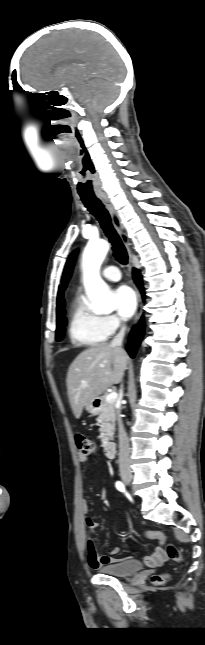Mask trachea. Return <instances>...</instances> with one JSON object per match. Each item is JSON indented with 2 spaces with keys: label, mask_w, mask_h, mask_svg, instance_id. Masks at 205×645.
I'll return each instance as SVG.
<instances>
[{
  "label": "trachea",
  "mask_w": 205,
  "mask_h": 645,
  "mask_svg": "<svg viewBox=\"0 0 205 645\" xmlns=\"http://www.w3.org/2000/svg\"><path fill=\"white\" fill-rule=\"evenodd\" d=\"M81 200L88 211L99 221L104 233L112 244L113 255L116 260L126 265L128 262L127 251L113 228L110 215L103 203L96 196H81Z\"/></svg>",
  "instance_id": "3493384b"
}]
</instances>
